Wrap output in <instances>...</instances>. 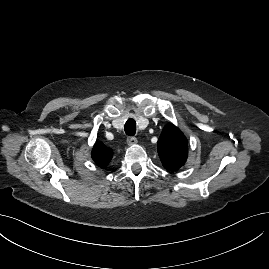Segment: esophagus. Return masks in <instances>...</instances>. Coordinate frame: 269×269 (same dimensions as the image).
I'll return each instance as SVG.
<instances>
[{
	"label": "esophagus",
	"instance_id": "obj_1",
	"mask_svg": "<svg viewBox=\"0 0 269 269\" xmlns=\"http://www.w3.org/2000/svg\"><path fill=\"white\" fill-rule=\"evenodd\" d=\"M127 143L130 146L135 145L137 143V139L135 137H128L127 138Z\"/></svg>",
	"mask_w": 269,
	"mask_h": 269
}]
</instances>
